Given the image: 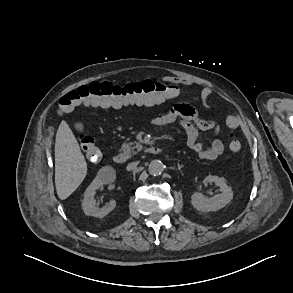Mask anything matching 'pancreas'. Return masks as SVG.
I'll return each instance as SVG.
<instances>
[{
  "label": "pancreas",
  "instance_id": "pancreas-1",
  "mask_svg": "<svg viewBox=\"0 0 293 293\" xmlns=\"http://www.w3.org/2000/svg\"><path fill=\"white\" fill-rule=\"evenodd\" d=\"M134 149H137V151H140L142 149V146L137 142H130V143H124L121 147V150L127 157H131L132 154H136Z\"/></svg>",
  "mask_w": 293,
  "mask_h": 293
}]
</instances>
